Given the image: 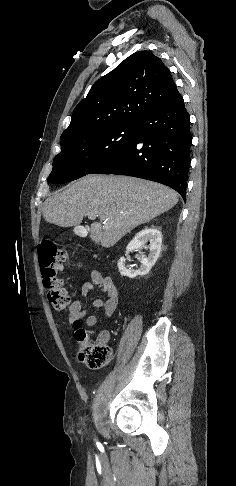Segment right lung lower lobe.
Returning a JSON list of instances; mask_svg holds the SVG:
<instances>
[{
    "label": "right lung lower lobe",
    "instance_id": "right-lung-lower-lobe-1",
    "mask_svg": "<svg viewBox=\"0 0 236 486\" xmlns=\"http://www.w3.org/2000/svg\"><path fill=\"white\" fill-rule=\"evenodd\" d=\"M191 144L190 115L181 98L141 116L135 138L90 174L128 175L159 182L185 199Z\"/></svg>",
    "mask_w": 236,
    "mask_h": 486
}]
</instances>
